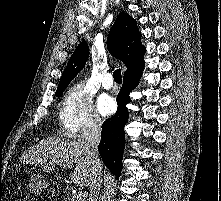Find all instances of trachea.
I'll list each match as a JSON object with an SVG mask.
<instances>
[{
    "label": "trachea",
    "instance_id": "1",
    "mask_svg": "<svg viewBox=\"0 0 221 201\" xmlns=\"http://www.w3.org/2000/svg\"><path fill=\"white\" fill-rule=\"evenodd\" d=\"M113 78H114L115 82H117V83L122 82L121 69H116L114 71Z\"/></svg>",
    "mask_w": 221,
    "mask_h": 201
}]
</instances>
